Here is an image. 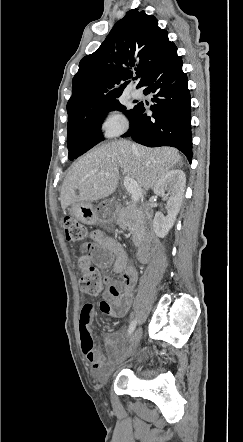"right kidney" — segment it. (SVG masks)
<instances>
[{"label": "right kidney", "instance_id": "right-kidney-1", "mask_svg": "<svg viewBox=\"0 0 243 442\" xmlns=\"http://www.w3.org/2000/svg\"><path fill=\"white\" fill-rule=\"evenodd\" d=\"M185 184V173L180 169H172L164 174L153 188L156 195L167 197V216H164L162 212H156L153 220L154 231L160 238L168 234L176 221L184 198Z\"/></svg>", "mask_w": 243, "mask_h": 442}]
</instances>
